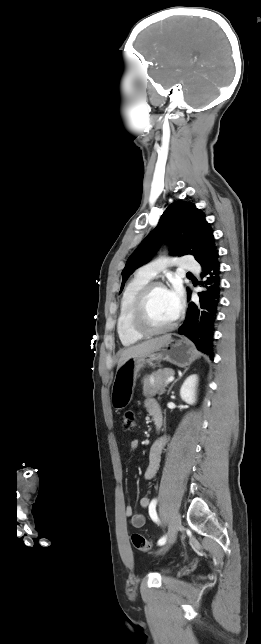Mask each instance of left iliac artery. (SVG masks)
<instances>
[{
    "label": "left iliac artery",
    "mask_w": 261,
    "mask_h": 644,
    "mask_svg": "<svg viewBox=\"0 0 261 644\" xmlns=\"http://www.w3.org/2000/svg\"><path fill=\"white\" fill-rule=\"evenodd\" d=\"M156 504H157V499L155 498L150 503L149 515H150L151 519L154 522L159 523V519H158V516H157V513H156ZM165 542H166V536H163L158 540V545H160V546L164 545Z\"/></svg>",
    "instance_id": "44dca946"
}]
</instances>
